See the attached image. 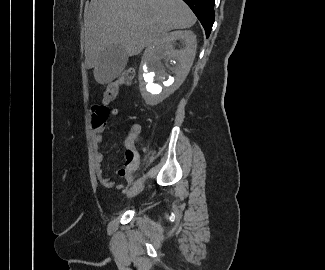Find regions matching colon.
Masks as SVG:
<instances>
[{"mask_svg": "<svg viewBox=\"0 0 325 270\" xmlns=\"http://www.w3.org/2000/svg\"><path fill=\"white\" fill-rule=\"evenodd\" d=\"M135 77V68L128 67L116 79L107 82L104 86L103 100L105 104L111 103L116 100L121 86L130 85Z\"/></svg>", "mask_w": 325, "mask_h": 270, "instance_id": "colon-1", "label": "colon"}]
</instances>
